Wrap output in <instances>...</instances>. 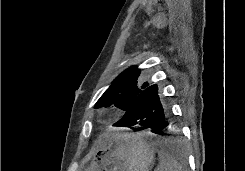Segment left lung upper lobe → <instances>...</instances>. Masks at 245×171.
<instances>
[{
  "mask_svg": "<svg viewBox=\"0 0 245 171\" xmlns=\"http://www.w3.org/2000/svg\"><path fill=\"white\" fill-rule=\"evenodd\" d=\"M139 77L140 69L136 66L126 69L100 97L95 108L115 105L127 112L134 105L139 94L149 85L146 82L140 87L138 83Z\"/></svg>",
  "mask_w": 245,
  "mask_h": 171,
  "instance_id": "5c2ea615",
  "label": "left lung upper lobe"
}]
</instances>
